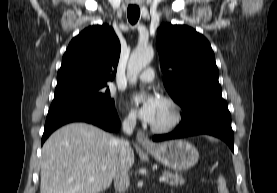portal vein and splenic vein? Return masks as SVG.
Masks as SVG:
<instances>
[{
    "label": "portal vein and splenic vein",
    "mask_w": 277,
    "mask_h": 193,
    "mask_svg": "<svg viewBox=\"0 0 277 193\" xmlns=\"http://www.w3.org/2000/svg\"><path fill=\"white\" fill-rule=\"evenodd\" d=\"M159 180H160V182H165V181L167 180V177L161 176V177L159 178Z\"/></svg>",
    "instance_id": "obj_1"
}]
</instances>
